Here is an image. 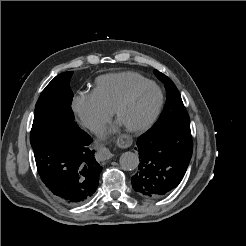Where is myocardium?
<instances>
[{"label": "myocardium", "mask_w": 246, "mask_h": 246, "mask_svg": "<svg viewBox=\"0 0 246 246\" xmlns=\"http://www.w3.org/2000/svg\"><path fill=\"white\" fill-rule=\"evenodd\" d=\"M146 87H153L157 91V100L154 106V109L151 113V115L141 124L136 126H124L125 129L130 133H142L148 130L157 120L162 106L164 102V94L161 89V87L155 83L154 81L147 80L145 82H142L140 84L135 85L132 87L116 104V106L113 109V114L116 120L119 121V117L123 109L130 103V101L133 99V97L142 89Z\"/></svg>", "instance_id": "1"}]
</instances>
